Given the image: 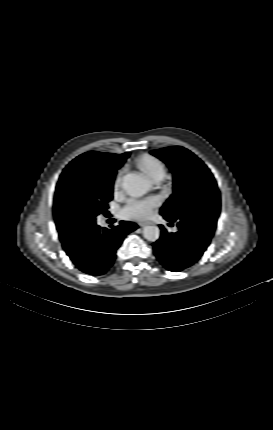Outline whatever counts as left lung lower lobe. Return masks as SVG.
I'll return each mask as SVG.
<instances>
[{"instance_id":"obj_1","label":"left lung lower lobe","mask_w":273,"mask_h":430,"mask_svg":"<svg viewBox=\"0 0 273 430\" xmlns=\"http://www.w3.org/2000/svg\"><path fill=\"white\" fill-rule=\"evenodd\" d=\"M161 215L169 222H176L178 231L168 233L160 225L161 237L153 243L154 253L160 263L172 272H179L196 263L207 249L210 238L208 235L200 233L192 225L181 221H174L171 217ZM198 220L214 221L216 219L215 208L202 206L197 212ZM170 223L169 225H171Z\"/></svg>"}]
</instances>
